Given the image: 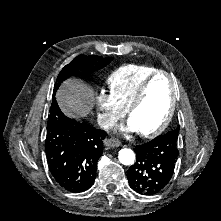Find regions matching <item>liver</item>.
Wrapping results in <instances>:
<instances>
[{"label":"liver","instance_id":"obj_1","mask_svg":"<svg viewBox=\"0 0 221 221\" xmlns=\"http://www.w3.org/2000/svg\"><path fill=\"white\" fill-rule=\"evenodd\" d=\"M61 110L69 117L80 119L86 117L94 104L91 88L78 80L65 81L56 94Z\"/></svg>","mask_w":221,"mask_h":221}]
</instances>
